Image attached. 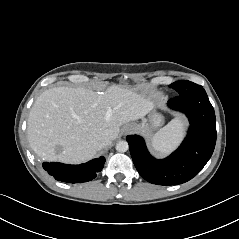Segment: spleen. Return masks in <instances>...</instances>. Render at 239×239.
<instances>
[{"label": "spleen", "instance_id": "spleen-1", "mask_svg": "<svg viewBox=\"0 0 239 239\" xmlns=\"http://www.w3.org/2000/svg\"><path fill=\"white\" fill-rule=\"evenodd\" d=\"M185 125L182 117L173 119L151 138V148L161 155L169 154L183 138Z\"/></svg>", "mask_w": 239, "mask_h": 239}]
</instances>
